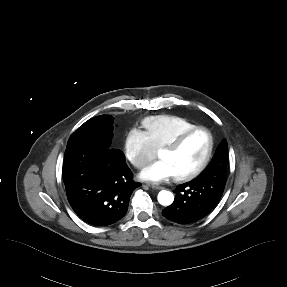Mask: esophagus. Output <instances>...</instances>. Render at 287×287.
Returning a JSON list of instances; mask_svg holds the SVG:
<instances>
[{"label": "esophagus", "instance_id": "34e87169", "mask_svg": "<svg viewBox=\"0 0 287 287\" xmlns=\"http://www.w3.org/2000/svg\"><path fill=\"white\" fill-rule=\"evenodd\" d=\"M148 186L151 187L152 189H158V190L162 189L161 186H158V185H155V184H148Z\"/></svg>", "mask_w": 287, "mask_h": 287}]
</instances>
